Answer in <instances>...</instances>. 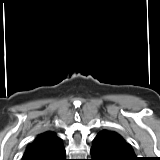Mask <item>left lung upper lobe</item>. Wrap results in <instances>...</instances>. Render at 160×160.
I'll return each mask as SVG.
<instances>
[{
	"label": "left lung upper lobe",
	"mask_w": 160,
	"mask_h": 160,
	"mask_svg": "<svg viewBox=\"0 0 160 160\" xmlns=\"http://www.w3.org/2000/svg\"><path fill=\"white\" fill-rule=\"evenodd\" d=\"M100 133H104L105 135H107L110 140L118 147L120 148L124 155L133 159V160H138V158L136 157L131 145L129 143H127L121 135H119L118 133L114 132V131H109V130H103Z\"/></svg>",
	"instance_id": "obj_1"
}]
</instances>
